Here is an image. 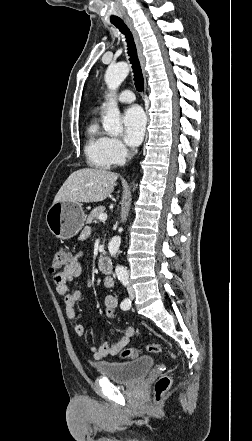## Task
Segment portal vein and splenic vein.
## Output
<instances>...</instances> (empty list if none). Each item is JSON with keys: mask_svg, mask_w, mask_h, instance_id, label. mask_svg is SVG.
Here are the masks:
<instances>
[{"mask_svg": "<svg viewBox=\"0 0 252 441\" xmlns=\"http://www.w3.org/2000/svg\"><path fill=\"white\" fill-rule=\"evenodd\" d=\"M99 220L100 221H106L107 220V214H104V213L100 214L99 215Z\"/></svg>", "mask_w": 252, "mask_h": 441, "instance_id": "portal-vein-and-splenic-vein-1", "label": "portal vein and splenic vein"}]
</instances>
